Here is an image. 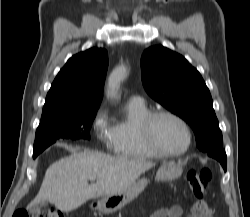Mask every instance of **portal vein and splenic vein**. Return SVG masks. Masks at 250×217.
<instances>
[{
  "mask_svg": "<svg viewBox=\"0 0 250 217\" xmlns=\"http://www.w3.org/2000/svg\"><path fill=\"white\" fill-rule=\"evenodd\" d=\"M90 179H91V180H96V177H91Z\"/></svg>",
  "mask_w": 250,
  "mask_h": 217,
  "instance_id": "18ae733b",
  "label": "portal vein and splenic vein"
}]
</instances>
